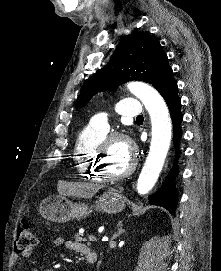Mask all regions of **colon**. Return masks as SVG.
I'll use <instances>...</instances> for the list:
<instances>
[{"mask_svg":"<svg viewBox=\"0 0 221 271\" xmlns=\"http://www.w3.org/2000/svg\"><path fill=\"white\" fill-rule=\"evenodd\" d=\"M37 243V234L29 220L23 219L19 224L15 237V251L20 253L35 246Z\"/></svg>","mask_w":221,"mask_h":271,"instance_id":"1","label":"colon"}]
</instances>
